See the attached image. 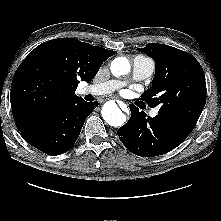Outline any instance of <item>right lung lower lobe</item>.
<instances>
[{
	"label": "right lung lower lobe",
	"mask_w": 221,
	"mask_h": 221,
	"mask_svg": "<svg viewBox=\"0 0 221 221\" xmlns=\"http://www.w3.org/2000/svg\"><path fill=\"white\" fill-rule=\"evenodd\" d=\"M98 102L83 99L73 105L40 117L19 131L24 139L48 155H60L76 142L82 126Z\"/></svg>",
	"instance_id": "right-lung-lower-lobe-1"
}]
</instances>
